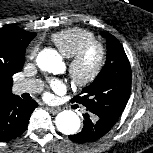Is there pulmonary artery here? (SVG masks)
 Listing matches in <instances>:
<instances>
[{"label":"pulmonary artery","mask_w":153,"mask_h":153,"mask_svg":"<svg viewBox=\"0 0 153 153\" xmlns=\"http://www.w3.org/2000/svg\"><path fill=\"white\" fill-rule=\"evenodd\" d=\"M41 90V84L37 80L27 79L15 83L14 91L16 93H36Z\"/></svg>","instance_id":"pulmonary-artery-1"}]
</instances>
